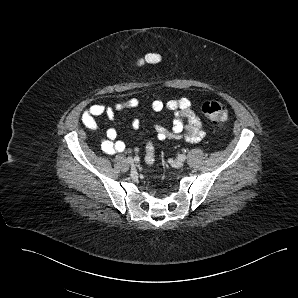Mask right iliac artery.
<instances>
[{
	"label": "right iliac artery",
	"instance_id": "1",
	"mask_svg": "<svg viewBox=\"0 0 298 298\" xmlns=\"http://www.w3.org/2000/svg\"><path fill=\"white\" fill-rule=\"evenodd\" d=\"M134 160H135L136 162H138V161H139V157H138V156H135V157H134Z\"/></svg>",
	"mask_w": 298,
	"mask_h": 298
}]
</instances>
